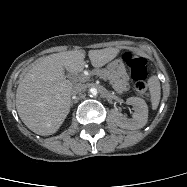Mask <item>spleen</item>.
<instances>
[{"mask_svg":"<svg viewBox=\"0 0 187 187\" xmlns=\"http://www.w3.org/2000/svg\"><path fill=\"white\" fill-rule=\"evenodd\" d=\"M148 84H149V90L151 95L152 109L156 110L159 105L160 96H161V87L158 77L152 76L148 80Z\"/></svg>","mask_w":187,"mask_h":187,"instance_id":"obj_1","label":"spleen"}]
</instances>
